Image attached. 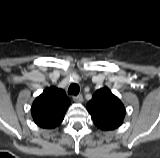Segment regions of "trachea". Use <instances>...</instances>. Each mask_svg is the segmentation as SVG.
<instances>
[{"instance_id":"obj_1","label":"trachea","mask_w":160,"mask_h":158,"mask_svg":"<svg viewBox=\"0 0 160 158\" xmlns=\"http://www.w3.org/2000/svg\"><path fill=\"white\" fill-rule=\"evenodd\" d=\"M79 91H80L79 85L76 83H73L69 86L68 94L76 96L78 95Z\"/></svg>"}]
</instances>
